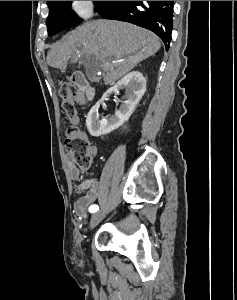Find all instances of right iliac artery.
I'll use <instances>...</instances> for the list:
<instances>
[{
  "label": "right iliac artery",
  "instance_id": "82829eb1",
  "mask_svg": "<svg viewBox=\"0 0 237 300\" xmlns=\"http://www.w3.org/2000/svg\"><path fill=\"white\" fill-rule=\"evenodd\" d=\"M99 210V207H98V205H91L90 207H89V212H91V213H95V212H97Z\"/></svg>",
  "mask_w": 237,
  "mask_h": 300
}]
</instances>
